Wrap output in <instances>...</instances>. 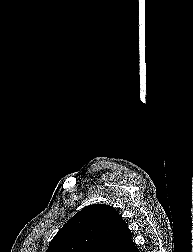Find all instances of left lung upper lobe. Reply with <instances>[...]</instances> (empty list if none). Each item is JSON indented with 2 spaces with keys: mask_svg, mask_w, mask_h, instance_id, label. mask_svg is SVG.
<instances>
[{
  "mask_svg": "<svg viewBox=\"0 0 193 252\" xmlns=\"http://www.w3.org/2000/svg\"><path fill=\"white\" fill-rule=\"evenodd\" d=\"M131 239L126 222L112 206L93 204L58 231L47 252H123Z\"/></svg>",
  "mask_w": 193,
  "mask_h": 252,
  "instance_id": "left-lung-upper-lobe-1",
  "label": "left lung upper lobe"
}]
</instances>
